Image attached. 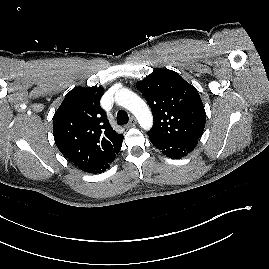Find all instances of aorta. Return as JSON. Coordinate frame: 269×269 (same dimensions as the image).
Instances as JSON below:
<instances>
[{
  "label": "aorta",
  "instance_id": "obj_1",
  "mask_svg": "<svg viewBox=\"0 0 269 269\" xmlns=\"http://www.w3.org/2000/svg\"><path fill=\"white\" fill-rule=\"evenodd\" d=\"M115 101L118 105L129 110L143 129L149 130L152 127V113L145 101L137 94L125 88L120 89L115 94Z\"/></svg>",
  "mask_w": 269,
  "mask_h": 269
}]
</instances>
